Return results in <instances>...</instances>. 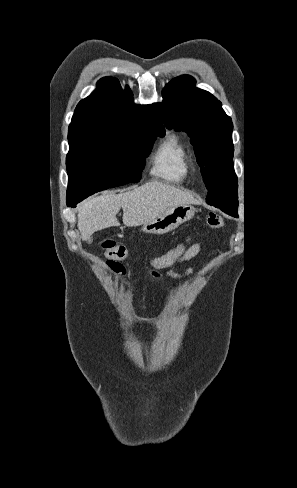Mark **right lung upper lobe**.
<instances>
[{"label": "right lung upper lobe", "instance_id": "obj_1", "mask_svg": "<svg viewBox=\"0 0 297 488\" xmlns=\"http://www.w3.org/2000/svg\"><path fill=\"white\" fill-rule=\"evenodd\" d=\"M143 127L165 135L152 105L134 104L128 86L124 92L116 78L104 77L98 81L97 89L77 105L69 125L68 142L77 144L126 136Z\"/></svg>", "mask_w": 297, "mask_h": 488}]
</instances>
